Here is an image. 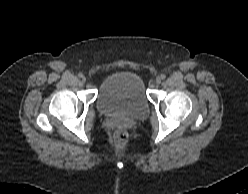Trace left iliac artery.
Returning a JSON list of instances; mask_svg holds the SVG:
<instances>
[{
    "instance_id": "obj_1",
    "label": "left iliac artery",
    "mask_w": 248,
    "mask_h": 194,
    "mask_svg": "<svg viewBox=\"0 0 248 194\" xmlns=\"http://www.w3.org/2000/svg\"><path fill=\"white\" fill-rule=\"evenodd\" d=\"M161 78H162V79H165V78H166V75H165V74H162V75H161Z\"/></svg>"
}]
</instances>
